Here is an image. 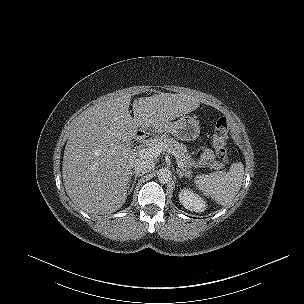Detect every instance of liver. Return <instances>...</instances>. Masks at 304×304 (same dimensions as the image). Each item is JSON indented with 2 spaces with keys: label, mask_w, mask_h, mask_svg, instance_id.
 Returning <instances> with one entry per match:
<instances>
[{
  "label": "liver",
  "mask_w": 304,
  "mask_h": 304,
  "mask_svg": "<svg viewBox=\"0 0 304 304\" xmlns=\"http://www.w3.org/2000/svg\"><path fill=\"white\" fill-rule=\"evenodd\" d=\"M122 95L85 110L64 151L62 177L67 195L91 215L113 213L127 198V185L137 154L126 143L138 128H161L196 110L192 95L161 93L134 100Z\"/></svg>",
  "instance_id": "obj_1"
}]
</instances>
